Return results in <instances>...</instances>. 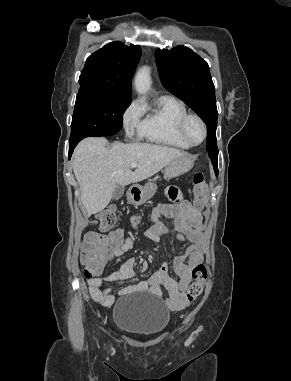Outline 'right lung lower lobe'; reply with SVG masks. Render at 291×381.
<instances>
[{
    "label": "right lung lower lobe",
    "mask_w": 291,
    "mask_h": 381,
    "mask_svg": "<svg viewBox=\"0 0 291 381\" xmlns=\"http://www.w3.org/2000/svg\"><path fill=\"white\" fill-rule=\"evenodd\" d=\"M77 144L78 142H69V159L71 158L73 150Z\"/></svg>",
    "instance_id": "1"
}]
</instances>
